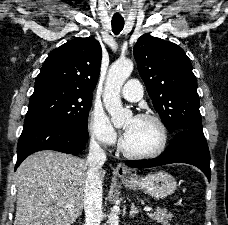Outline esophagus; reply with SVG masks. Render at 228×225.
<instances>
[{"label": "esophagus", "mask_w": 228, "mask_h": 225, "mask_svg": "<svg viewBox=\"0 0 228 225\" xmlns=\"http://www.w3.org/2000/svg\"><path fill=\"white\" fill-rule=\"evenodd\" d=\"M116 173L120 178H126L131 175V170L128 169L123 163H118Z\"/></svg>", "instance_id": "34e87169"}]
</instances>
